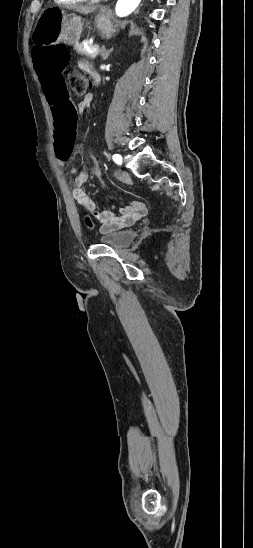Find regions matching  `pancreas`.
I'll return each mask as SVG.
<instances>
[{
    "instance_id": "1",
    "label": "pancreas",
    "mask_w": 253,
    "mask_h": 548,
    "mask_svg": "<svg viewBox=\"0 0 253 548\" xmlns=\"http://www.w3.org/2000/svg\"><path fill=\"white\" fill-rule=\"evenodd\" d=\"M90 49L92 50L95 45H89ZM74 49L76 50V52L80 55H84L86 56L87 58L89 59H95L97 54L96 55H93L90 51H88L83 44H77L75 45Z\"/></svg>"
}]
</instances>
